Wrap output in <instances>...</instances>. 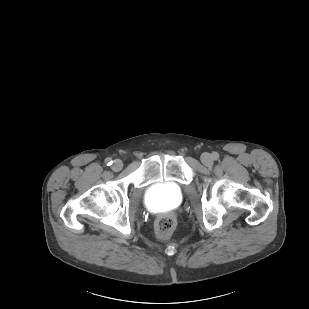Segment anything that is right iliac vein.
Listing matches in <instances>:
<instances>
[{"label": "right iliac vein", "instance_id": "obj_1", "mask_svg": "<svg viewBox=\"0 0 309 309\" xmlns=\"http://www.w3.org/2000/svg\"><path fill=\"white\" fill-rule=\"evenodd\" d=\"M122 167H123V163H122L121 160H119V159L114 160V162L112 164V169L114 171H120L122 169Z\"/></svg>", "mask_w": 309, "mask_h": 309}]
</instances>
